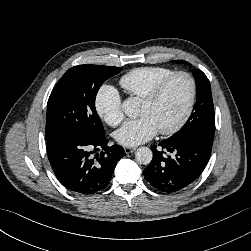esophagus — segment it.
I'll return each mask as SVG.
<instances>
[{"label": "esophagus", "instance_id": "obj_1", "mask_svg": "<svg viewBox=\"0 0 251 251\" xmlns=\"http://www.w3.org/2000/svg\"><path fill=\"white\" fill-rule=\"evenodd\" d=\"M124 150H125L126 154H129V153L134 152L136 150V148H134V147H125Z\"/></svg>", "mask_w": 251, "mask_h": 251}]
</instances>
